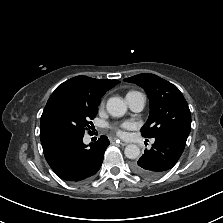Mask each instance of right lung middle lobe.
<instances>
[{"label": "right lung middle lobe", "instance_id": "dd1d6c3e", "mask_svg": "<svg viewBox=\"0 0 223 223\" xmlns=\"http://www.w3.org/2000/svg\"><path fill=\"white\" fill-rule=\"evenodd\" d=\"M99 103L87 99L65 96L54 100L43 111L40 134L84 135L98 112Z\"/></svg>", "mask_w": 223, "mask_h": 223}]
</instances>
